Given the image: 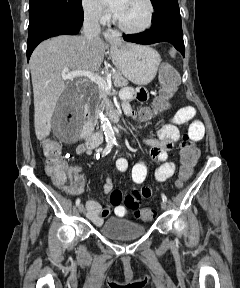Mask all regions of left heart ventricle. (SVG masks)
Wrapping results in <instances>:
<instances>
[{
    "instance_id": "1",
    "label": "left heart ventricle",
    "mask_w": 240,
    "mask_h": 288,
    "mask_svg": "<svg viewBox=\"0 0 240 288\" xmlns=\"http://www.w3.org/2000/svg\"><path fill=\"white\" fill-rule=\"evenodd\" d=\"M149 16L145 0H127L118 18L130 28H139L146 24Z\"/></svg>"
}]
</instances>
